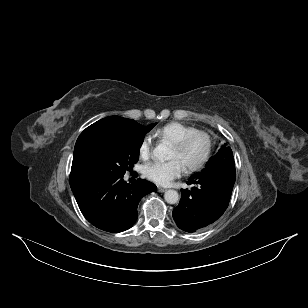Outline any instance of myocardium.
<instances>
[{
  "label": "myocardium",
  "instance_id": "f54148a6",
  "mask_svg": "<svg viewBox=\"0 0 308 308\" xmlns=\"http://www.w3.org/2000/svg\"><path fill=\"white\" fill-rule=\"evenodd\" d=\"M197 137H203L205 139V141H206L205 152L202 155V157L196 163L186 167V170L188 172H195L197 170H200L201 168H203L207 164V162L211 158V155H212V152H213V147H214L212 136L206 131L196 130V131L186 135L181 140H179L178 142L173 144V147L175 149H177L178 151H183Z\"/></svg>",
  "mask_w": 308,
  "mask_h": 308
}]
</instances>
